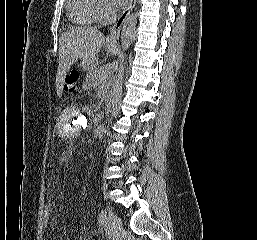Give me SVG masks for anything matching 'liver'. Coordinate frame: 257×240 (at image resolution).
Wrapping results in <instances>:
<instances>
[{"instance_id": "1", "label": "liver", "mask_w": 257, "mask_h": 240, "mask_svg": "<svg viewBox=\"0 0 257 240\" xmlns=\"http://www.w3.org/2000/svg\"><path fill=\"white\" fill-rule=\"evenodd\" d=\"M104 41V35L94 27H80L61 35L59 38V65L56 75V89L59 96L71 66L78 59L94 61Z\"/></svg>"}]
</instances>
